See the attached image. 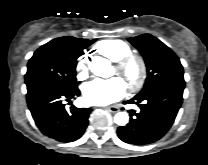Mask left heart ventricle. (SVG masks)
<instances>
[{
	"mask_svg": "<svg viewBox=\"0 0 208 165\" xmlns=\"http://www.w3.org/2000/svg\"><path fill=\"white\" fill-rule=\"evenodd\" d=\"M138 65L136 63H131L129 66L122 72L117 73L116 69L113 67L112 74L117 75L122 81L127 85L130 82H133L138 76Z\"/></svg>",
	"mask_w": 208,
	"mask_h": 165,
	"instance_id": "obj_1",
	"label": "left heart ventricle"
}]
</instances>
